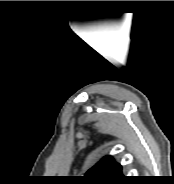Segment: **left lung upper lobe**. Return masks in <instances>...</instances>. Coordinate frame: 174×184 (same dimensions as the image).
I'll return each instance as SVG.
<instances>
[{"mask_svg":"<svg viewBox=\"0 0 174 184\" xmlns=\"http://www.w3.org/2000/svg\"><path fill=\"white\" fill-rule=\"evenodd\" d=\"M121 168L111 156H107L92 167L82 180L86 184H119L128 178L122 174Z\"/></svg>","mask_w":174,"mask_h":184,"instance_id":"left-lung-upper-lobe-1","label":"left lung upper lobe"}]
</instances>
